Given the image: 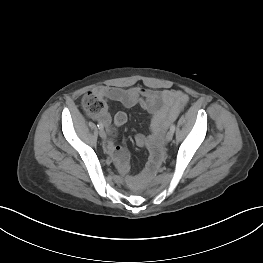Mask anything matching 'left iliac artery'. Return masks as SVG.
Listing matches in <instances>:
<instances>
[{
	"instance_id": "left-iliac-artery-1",
	"label": "left iliac artery",
	"mask_w": 263,
	"mask_h": 263,
	"mask_svg": "<svg viewBox=\"0 0 263 263\" xmlns=\"http://www.w3.org/2000/svg\"><path fill=\"white\" fill-rule=\"evenodd\" d=\"M175 128H176L175 124H172L171 127H170V131L174 132Z\"/></svg>"
}]
</instances>
